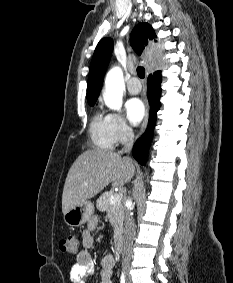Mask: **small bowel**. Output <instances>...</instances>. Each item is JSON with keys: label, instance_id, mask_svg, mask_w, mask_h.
<instances>
[{"label": "small bowel", "instance_id": "1", "mask_svg": "<svg viewBox=\"0 0 233 283\" xmlns=\"http://www.w3.org/2000/svg\"><path fill=\"white\" fill-rule=\"evenodd\" d=\"M97 226V218L93 217L88 228L83 232L82 244L85 250L81 251L76 258V263L71 267L70 279L73 283H86V278L94 271V263L88 252L93 247V232ZM115 265V258L112 254L103 257L101 261L100 281L98 283H112V269Z\"/></svg>", "mask_w": 233, "mask_h": 283}]
</instances>
